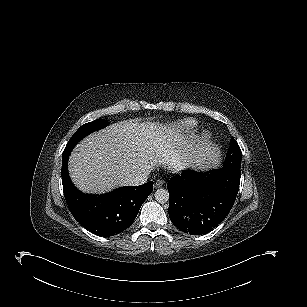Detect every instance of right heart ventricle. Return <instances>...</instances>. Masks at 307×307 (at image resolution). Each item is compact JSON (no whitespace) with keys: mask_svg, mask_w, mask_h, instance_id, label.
<instances>
[{"mask_svg":"<svg viewBox=\"0 0 307 307\" xmlns=\"http://www.w3.org/2000/svg\"><path fill=\"white\" fill-rule=\"evenodd\" d=\"M194 122L190 119H183L177 122H169L162 128V135L164 138L171 139L177 132H190L194 128Z\"/></svg>","mask_w":307,"mask_h":307,"instance_id":"right-heart-ventricle-1","label":"right heart ventricle"}]
</instances>
